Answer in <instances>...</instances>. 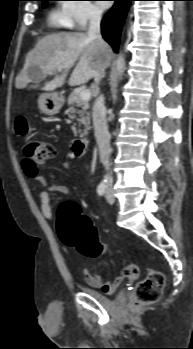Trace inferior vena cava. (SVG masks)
<instances>
[{"mask_svg": "<svg viewBox=\"0 0 193 349\" xmlns=\"http://www.w3.org/2000/svg\"><path fill=\"white\" fill-rule=\"evenodd\" d=\"M102 10L98 8H93L90 11L89 16V29L88 36L92 39H96L98 42L102 43L103 39L100 31V23H101ZM106 109L104 106V97L100 95L95 100L92 107V118L93 125L95 130V137L97 141V145L99 148L100 160L106 170H109L110 167V134L108 132V126L106 122ZM108 184L112 183V177L107 175Z\"/></svg>", "mask_w": 193, "mask_h": 349, "instance_id": "1", "label": "inferior vena cava"}]
</instances>
